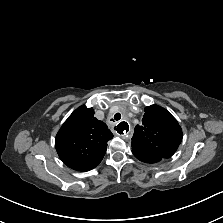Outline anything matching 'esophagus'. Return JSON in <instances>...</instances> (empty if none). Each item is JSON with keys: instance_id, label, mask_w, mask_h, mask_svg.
<instances>
[{"instance_id": "1", "label": "esophagus", "mask_w": 223, "mask_h": 223, "mask_svg": "<svg viewBox=\"0 0 223 223\" xmlns=\"http://www.w3.org/2000/svg\"><path fill=\"white\" fill-rule=\"evenodd\" d=\"M117 132L120 134L121 137L127 139L131 133V128L126 122H121L117 126Z\"/></svg>"}]
</instances>
